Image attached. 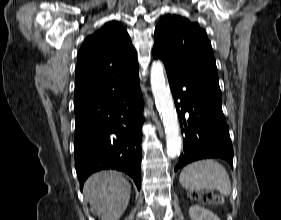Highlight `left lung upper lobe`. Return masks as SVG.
<instances>
[{"mask_svg": "<svg viewBox=\"0 0 281 220\" xmlns=\"http://www.w3.org/2000/svg\"><path fill=\"white\" fill-rule=\"evenodd\" d=\"M154 58L171 74L190 76L220 91L211 43L198 23L178 15L162 18L155 29Z\"/></svg>", "mask_w": 281, "mask_h": 220, "instance_id": "left-lung-upper-lobe-1", "label": "left lung upper lobe"}]
</instances>
